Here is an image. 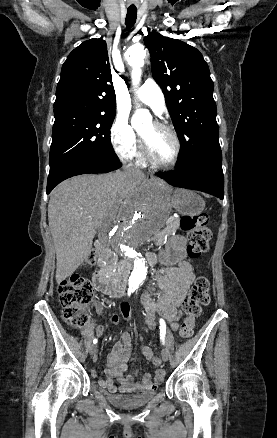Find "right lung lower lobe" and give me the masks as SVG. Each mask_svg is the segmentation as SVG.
<instances>
[{"label":"right lung lower lobe","instance_id":"1","mask_svg":"<svg viewBox=\"0 0 277 438\" xmlns=\"http://www.w3.org/2000/svg\"><path fill=\"white\" fill-rule=\"evenodd\" d=\"M121 167L119 159H91L67 164L57 172L49 174L47 194L61 181L75 175L88 173H106Z\"/></svg>","mask_w":277,"mask_h":438}]
</instances>
